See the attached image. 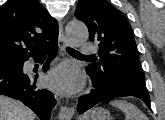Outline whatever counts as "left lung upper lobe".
<instances>
[{"mask_svg": "<svg viewBox=\"0 0 165 120\" xmlns=\"http://www.w3.org/2000/svg\"><path fill=\"white\" fill-rule=\"evenodd\" d=\"M76 18L99 41V62L86 67L97 89L147 91L132 28L123 12L107 0H79Z\"/></svg>", "mask_w": 165, "mask_h": 120, "instance_id": "left-lung-upper-lobe-1", "label": "left lung upper lobe"}]
</instances>
